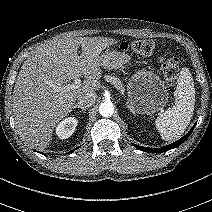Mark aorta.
Wrapping results in <instances>:
<instances>
[{
	"label": "aorta",
	"mask_w": 212,
	"mask_h": 212,
	"mask_svg": "<svg viewBox=\"0 0 212 212\" xmlns=\"http://www.w3.org/2000/svg\"><path fill=\"white\" fill-rule=\"evenodd\" d=\"M99 113L103 117H110L114 113V105L112 102H103L99 106Z\"/></svg>",
	"instance_id": "1"
}]
</instances>
